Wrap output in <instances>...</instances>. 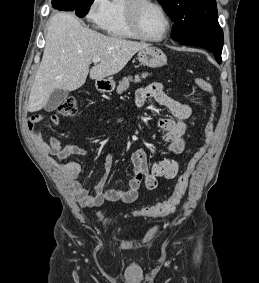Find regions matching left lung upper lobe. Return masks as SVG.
Listing matches in <instances>:
<instances>
[{
  "mask_svg": "<svg viewBox=\"0 0 259 283\" xmlns=\"http://www.w3.org/2000/svg\"><path fill=\"white\" fill-rule=\"evenodd\" d=\"M174 21L175 41L200 37L220 28L215 0H157Z\"/></svg>",
  "mask_w": 259,
  "mask_h": 283,
  "instance_id": "1",
  "label": "left lung upper lobe"
}]
</instances>
